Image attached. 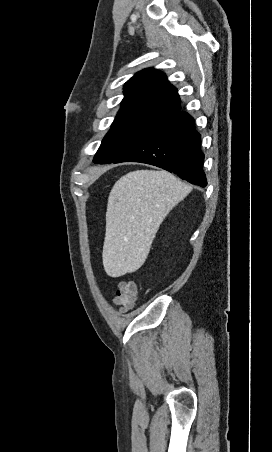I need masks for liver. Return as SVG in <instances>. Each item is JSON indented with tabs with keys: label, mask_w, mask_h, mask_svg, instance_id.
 Instances as JSON below:
<instances>
[{
	"label": "liver",
	"mask_w": 272,
	"mask_h": 452,
	"mask_svg": "<svg viewBox=\"0 0 272 452\" xmlns=\"http://www.w3.org/2000/svg\"><path fill=\"white\" fill-rule=\"evenodd\" d=\"M192 187L161 170H136L113 186L107 204L102 260L108 276L137 271L168 213Z\"/></svg>",
	"instance_id": "6515ba94"
}]
</instances>
